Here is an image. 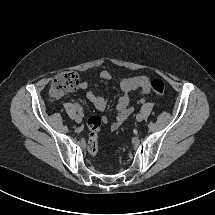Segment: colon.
Returning <instances> with one entry per match:
<instances>
[{
    "label": "colon",
    "instance_id": "1",
    "mask_svg": "<svg viewBox=\"0 0 215 215\" xmlns=\"http://www.w3.org/2000/svg\"><path fill=\"white\" fill-rule=\"evenodd\" d=\"M79 88V77L73 71H64L57 74L50 87V98L53 101L59 100L66 93L73 92ZM153 93L161 97L165 91V85L162 80L156 79L151 83ZM101 118L94 116L87 120V128L90 131L88 140V152L90 155L95 156L98 152V132L101 127Z\"/></svg>",
    "mask_w": 215,
    "mask_h": 215
}]
</instances>
